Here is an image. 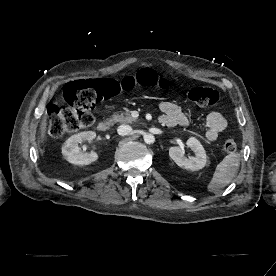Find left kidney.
I'll list each match as a JSON object with an SVG mask.
<instances>
[{"label": "left kidney", "instance_id": "5707ae66", "mask_svg": "<svg viewBox=\"0 0 276 276\" xmlns=\"http://www.w3.org/2000/svg\"><path fill=\"white\" fill-rule=\"evenodd\" d=\"M186 145L194 152V157H185L179 146L169 149L170 158L179 166L191 171H197L205 167L207 162L206 152L201 143L194 137L187 140Z\"/></svg>", "mask_w": 276, "mask_h": 276}]
</instances>
